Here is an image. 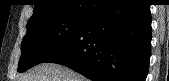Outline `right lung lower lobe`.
Returning a JSON list of instances; mask_svg holds the SVG:
<instances>
[{
    "mask_svg": "<svg viewBox=\"0 0 169 81\" xmlns=\"http://www.w3.org/2000/svg\"><path fill=\"white\" fill-rule=\"evenodd\" d=\"M150 46V5L113 0L43 62L67 66L92 81H145Z\"/></svg>",
    "mask_w": 169,
    "mask_h": 81,
    "instance_id": "1",
    "label": "right lung lower lobe"
}]
</instances>
